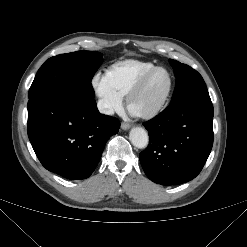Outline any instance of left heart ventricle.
Returning a JSON list of instances; mask_svg holds the SVG:
<instances>
[{
  "instance_id": "1",
  "label": "left heart ventricle",
  "mask_w": 247,
  "mask_h": 247,
  "mask_svg": "<svg viewBox=\"0 0 247 247\" xmlns=\"http://www.w3.org/2000/svg\"><path fill=\"white\" fill-rule=\"evenodd\" d=\"M168 75L165 71H157L151 78L144 93L135 101L133 108L135 111H144L154 103L159 101L168 88Z\"/></svg>"
}]
</instances>
